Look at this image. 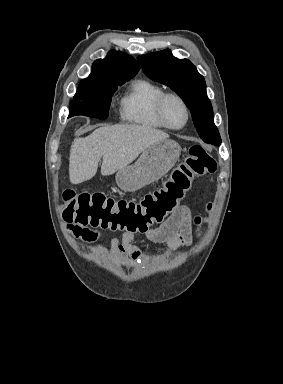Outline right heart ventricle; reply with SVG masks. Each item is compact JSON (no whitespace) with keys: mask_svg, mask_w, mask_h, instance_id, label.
I'll list each match as a JSON object with an SVG mask.
<instances>
[{"mask_svg":"<svg viewBox=\"0 0 283 384\" xmlns=\"http://www.w3.org/2000/svg\"><path fill=\"white\" fill-rule=\"evenodd\" d=\"M164 93L163 88L145 78L132 79L119 99L121 118L141 129L163 130L154 116V106Z\"/></svg>","mask_w":283,"mask_h":384,"instance_id":"right-heart-ventricle-1","label":"right heart ventricle"}]
</instances>
